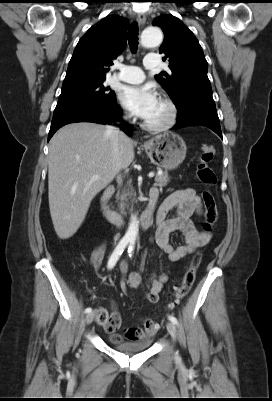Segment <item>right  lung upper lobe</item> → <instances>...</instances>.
<instances>
[{"label":"right lung upper lobe","instance_id":"obj_1","mask_svg":"<svg viewBox=\"0 0 272 401\" xmlns=\"http://www.w3.org/2000/svg\"><path fill=\"white\" fill-rule=\"evenodd\" d=\"M128 25L125 18L109 15L92 26L74 50L62 90L105 80L112 60L126 46Z\"/></svg>","mask_w":272,"mask_h":401}]
</instances>
